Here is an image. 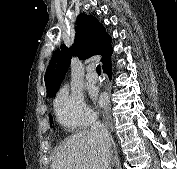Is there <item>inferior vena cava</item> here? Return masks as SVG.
Instances as JSON below:
<instances>
[{
	"instance_id": "obj_1",
	"label": "inferior vena cava",
	"mask_w": 177,
	"mask_h": 169,
	"mask_svg": "<svg viewBox=\"0 0 177 169\" xmlns=\"http://www.w3.org/2000/svg\"><path fill=\"white\" fill-rule=\"evenodd\" d=\"M90 132L97 138L102 150L101 169H111V140L107 129L96 119L92 120Z\"/></svg>"
}]
</instances>
